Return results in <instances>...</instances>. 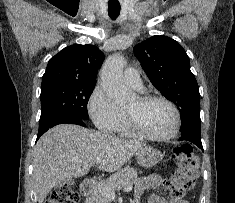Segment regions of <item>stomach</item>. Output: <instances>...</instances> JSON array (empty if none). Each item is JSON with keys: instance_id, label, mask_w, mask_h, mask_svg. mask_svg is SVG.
<instances>
[{"instance_id": "obj_1", "label": "stomach", "mask_w": 235, "mask_h": 203, "mask_svg": "<svg viewBox=\"0 0 235 203\" xmlns=\"http://www.w3.org/2000/svg\"><path fill=\"white\" fill-rule=\"evenodd\" d=\"M137 162L143 167H152L162 159L159 150L152 147H144L136 152Z\"/></svg>"}]
</instances>
